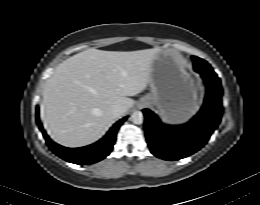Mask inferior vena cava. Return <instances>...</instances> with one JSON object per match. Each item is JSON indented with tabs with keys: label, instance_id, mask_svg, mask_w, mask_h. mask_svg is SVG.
Here are the masks:
<instances>
[{
	"label": "inferior vena cava",
	"instance_id": "obj_1",
	"mask_svg": "<svg viewBox=\"0 0 260 205\" xmlns=\"http://www.w3.org/2000/svg\"><path fill=\"white\" fill-rule=\"evenodd\" d=\"M126 109L122 105H115L112 107L110 113L114 118H119L125 113Z\"/></svg>",
	"mask_w": 260,
	"mask_h": 205
}]
</instances>
